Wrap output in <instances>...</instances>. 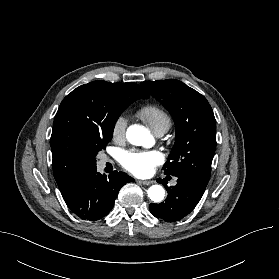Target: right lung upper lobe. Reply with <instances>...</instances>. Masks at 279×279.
Listing matches in <instances>:
<instances>
[{
  "label": "right lung upper lobe",
  "mask_w": 279,
  "mask_h": 279,
  "mask_svg": "<svg viewBox=\"0 0 279 279\" xmlns=\"http://www.w3.org/2000/svg\"><path fill=\"white\" fill-rule=\"evenodd\" d=\"M140 98L149 95L136 83L98 80L77 87L63 99L50 139L53 174L62 195L85 168L84 142L106 127L111 104Z\"/></svg>",
  "instance_id": "obj_1"
}]
</instances>
